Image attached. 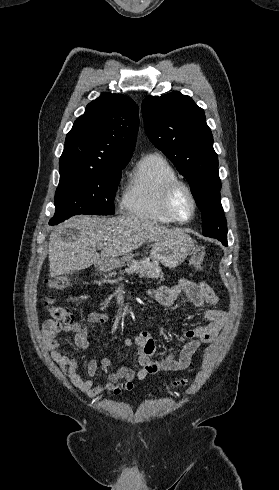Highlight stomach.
<instances>
[{"label": "stomach", "instance_id": "obj_1", "mask_svg": "<svg viewBox=\"0 0 279 490\" xmlns=\"http://www.w3.org/2000/svg\"><path fill=\"white\" fill-rule=\"evenodd\" d=\"M191 246L186 240H165V242H156L152 244L150 250V258L155 262H160L165 268H178L180 264L185 262ZM136 254H127L123 258H112L102 262V272H110L114 268H122L127 262H133Z\"/></svg>", "mask_w": 279, "mask_h": 490}]
</instances>
